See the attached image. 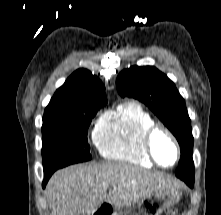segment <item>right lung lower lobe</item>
<instances>
[{
    "instance_id": "obj_1",
    "label": "right lung lower lobe",
    "mask_w": 221,
    "mask_h": 215,
    "mask_svg": "<svg viewBox=\"0 0 221 215\" xmlns=\"http://www.w3.org/2000/svg\"><path fill=\"white\" fill-rule=\"evenodd\" d=\"M54 172H47V173H44V181H43V188L45 187L47 181L49 180V178L51 177V175L53 174Z\"/></svg>"
}]
</instances>
